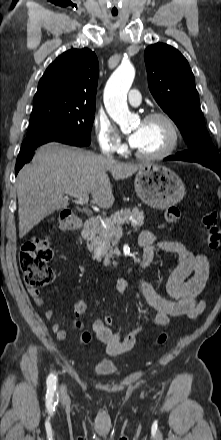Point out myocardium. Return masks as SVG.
<instances>
[{"label":"myocardium","mask_w":221,"mask_h":440,"mask_svg":"<svg viewBox=\"0 0 221 440\" xmlns=\"http://www.w3.org/2000/svg\"><path fill=\"white\" fill-rule=\"evenodd\" d=\"M155 119L162 120L166 124L170 135L169 142L163 150L153 154H146L135 149V155L142 160L157 161L165 159L173 154L179 143V131L174 120L165 112L153 111L145 116L144 121H151Z\"/></svg>","instance_id":"1"}]
</instances>
